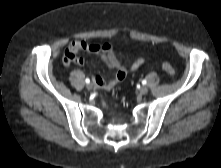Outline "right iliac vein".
Listing matches in <instances>:
<instances>
[{"mask_svg":"<svg viewBox=\"0 0 221 168\" xmlns=\"http://www.w3.org/2000/svg\"><path fill=\"white\" fill-rule=\"evenodd\" d=\"M86 88L88 90H92L94 88V84L93 83H89V84H87Z\"/></svg>","mask_w":221,"mask_h":168,"instance_id":"obj_1","label":"right iliac vein"}]
</instances>
